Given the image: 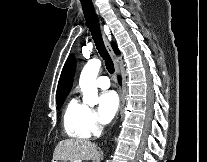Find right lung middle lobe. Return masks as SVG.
<instances>
[{"label": "right lung middle lobe", "instance_id": "1", "mask_svg": "<svg viewBox=\"0 0 207 162\" xmlns=\"http://www.w3.org/2000/svg\"><path fill=\"white\" fill-rule=\"evenodd\" d=\"M64 99H65V97L57 100V106H58V109H60V108H61V106H62V104H63Z\"/></svg>", "mask_w": 207, "mask_h": 162}]
</instances>
